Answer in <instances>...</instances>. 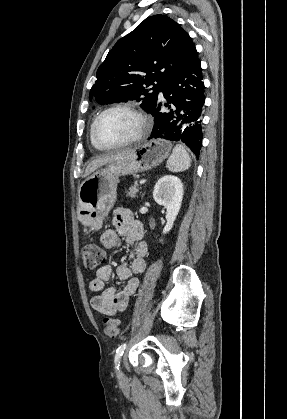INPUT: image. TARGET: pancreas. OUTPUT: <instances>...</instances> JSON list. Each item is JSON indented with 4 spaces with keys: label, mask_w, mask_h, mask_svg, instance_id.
Instances as JSON below:
<instances>
[{
    "label": "pancreas",
    "mask_w": 287,
    "mask_h": 419,
    "mask_svg": "<svg viewBox=\"0 0 287 419\" xmlns=\"http://www.w3.org/2000/svg\"><path fill=\"white\" fill-rule=\"evenodd\" d=\"M139 186L137 183H135L133 186L129 188L128 191H126L127 196L131 198H135L137 196V193L139 192Z\"/></svg>",
    "instance_id": "pancreas-1"
}]
</instances>
